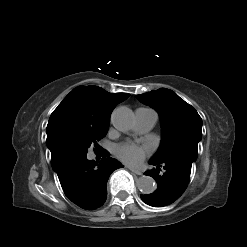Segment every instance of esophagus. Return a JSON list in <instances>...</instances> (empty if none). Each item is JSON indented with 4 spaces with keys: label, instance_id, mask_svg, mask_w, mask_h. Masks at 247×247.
<instances>
[{
    "label": "esophagus",
    "instance_id": "1",
    "mask_svg": "<svg viewBox=\"0 0 247 247\" xmlns=\"http://www.w3.org/2000/svg\"><path fill=\"white\" fill-rule=\"evenodd\" d=\"M128 168H129V170H130L131 172H133V173H135V174H137V175H142V172H141V171L136 170V169H134V168H132V167H128Z\"/></svg>",
    "mask_w": 247,
    "mask_h": 247
}]
</instances>
